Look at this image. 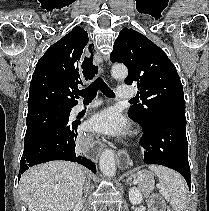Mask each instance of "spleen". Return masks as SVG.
I'll use <instances>...</instances> for the list:
<instances>
[{"label":"spleen","instance_id":"obj_1","mask_svg":"<svg viewBox=\"0 0 209 211\" xmlns=\"http://www.w3.org/2000/svg\"><path fill=\"white\" fill-rule=\"evenodd\" d=\"M149 169L157 175L159 184L169 195L172 208L175 211H183L187 206V185L184 178L164 166L152 165Z\"/></svg>","mask_w":209,"mask_h":211}]
</instances>
